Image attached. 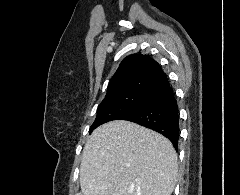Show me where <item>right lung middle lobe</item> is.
Listing matches in <instances>:
<instances>
[{"mask_svg":"<svg viewBox=\"0 0 240 195\" xmlns=\"http://www.w3.org/2000/svg\"><path fill=\"white\" fill-rule=\"evenodd\" d=\"M146 94L126 92L106 96L97 110V116L91 126V131L108 121L118 120L133 110L144 100Z\"/></svg>","mask_w":240,"mask_h":195,"instance_id":"dd1d6c3e","label":"right lung middle lobe"}]
</instances>
